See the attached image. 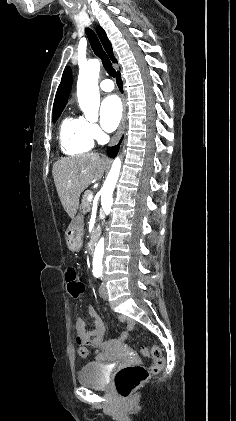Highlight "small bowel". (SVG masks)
<instances>
[{"label": "small bowel", "instance_id": "small-bowel-1", "mask_svg": "<svg viewBox=\"0 0 236 421\" xmlns=\"http://www.w3.org/2000/svg\"><path fill=\"white\" fill-rule=\"evenodd\" d=\"M90 316L92 318V324L96 328V330L98 328H101L103 330V332H105V325H104L103 321L97 316V314L95 313V311L92 308H90ZM77 326H78V329H81L84 326V322L82 320H78ZM96 330H94V331H96ZM79 354H80L81 357L86 358L87 357V350L85 348H80Z\"/></svg>", "mask_w": 236, "mask_h": 421}]
</instances>
